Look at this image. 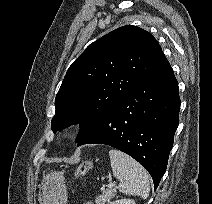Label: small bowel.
<instances>
[{
    "mask_svg": "<svg viewBox=\"0 0 212 204\" xmlns=\"http://www.w3.org/2000/svg\"><path fill=\"white\" fill-rule=\"evenodd\" d=\"M84 204H93V203H91V202H87V203H84Z\"/></svg>",
    "mask_w": 212,
    "mask_h": 204,
    "instance_id": "obj_1",
    "label": "small bowel"
}]
</instances>
